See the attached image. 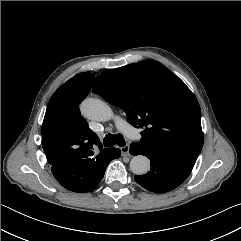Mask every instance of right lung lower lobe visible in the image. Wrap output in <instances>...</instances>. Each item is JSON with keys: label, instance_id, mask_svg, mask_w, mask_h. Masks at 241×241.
<instances>
[{"label": "right lung lower lobe", "instance_id": "98d812e1", "mask_svg": "<svg viewBox=\"0 0 241 241\" xmlns=\"http://www.w3.org/2000/svg\"><path fill=\"white\" fill-rule=\"evenodd\" d=\"M117 148L95 158L71 159L51 164V171L64 188L72 192H90L102 180L111 160L120 156Z\"/></svg>", "mask_w": 241, "mask_h": 241}]
</instances>
